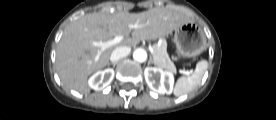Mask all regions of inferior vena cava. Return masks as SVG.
<instances>
[{
	"label": "inferior vena cava",
	"instance_id": "inferior-vena-cava-1",
	"mask_svg": "<svg viewBox=\"0 0 276 120\" xmlns=\"http://www.w3.org/2000/svg\"><path fill=\"white\" fill-rule=\"evenodd\" d=\"M131 48L128 46L117 47L111 54L110 60L112 62H117L119 59L124 58L129 55Z\"/></svg>",
	"mask_w": 276,
	"mask_h": 120
}]
</instances>
